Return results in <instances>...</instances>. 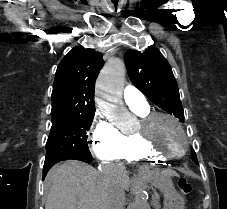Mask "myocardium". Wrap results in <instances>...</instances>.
<instances>
[{"label":"myocardium","instance_id":"f54148a6","mask_svg":"<svg viewBox=\"0 0 227 209\" xmlns=\"http://www.w3.org/2000/svg\"><path fill=\"white\" fill-rule=\"evenodd\" d=\"M158 118L169 119L179 128V130L185 136L186 144H185L184 149L180 153L165 154L149 140L148 135H147V130ZM139 123H140V125H139L138 130L135 132V136L138 139V141L142 144V146L150 154H153L163 160H170V159L180 158L188 152L189 146H190L189 136L187 134V131H186L184 125L174 115H171L166 112H160V111L149 112L147 115L140 118Z\"/></svg>","mask_w":227,"mask_h":209}]
</instances>
